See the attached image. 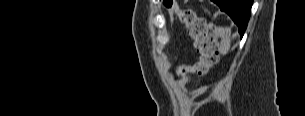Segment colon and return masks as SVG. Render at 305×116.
<instances>
[{"mask_svg":"<svg viewBox=\"0 0 305 116\" xmlns=\"http://www.w3.org/2000/svg\"><path fill=\"white\" fill-rule=\"evenodd\" d=\"M168 8L186 26L189 36L194 41L197 52V58L194 63L188 65L181 64L177 67V75L182 78L191 73L205 76L217 61V34L208 30L203 17L197 15L191 9L181 8L177 1H170Z\"/></svg>","mask_w":305,"mask_h":116,"instance_id":"1","label":"colon"}]
</instances>
